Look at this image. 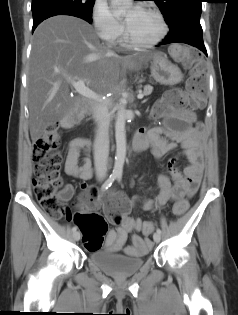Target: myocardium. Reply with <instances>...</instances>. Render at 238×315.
I'll return each mask as SVG.
<instances>
[{
    "label": "myocardium",
    "mask_w": 238,
    "mask_h": 315,
    "mask_svg": "<svg viewBox=\"0 0 238 315\" xmlns=\"http://www.w3.org/2000/svg\"><path fill=\"white\" fill-rule=\"evenodd\" d=\"M141 9L147 10L148 12L152 13L153 15L157 17L160 23V28H161L159 35L151 41H147V42L136 41L135 39L131 37L127 24H126L124 36H125L126 42L134 48H150L159 44L166 37L168 33V25L163 14L158 9L154 7H142Z\"/></svg>",
    "instance_id": "f54148a6"
}]
</instances>
